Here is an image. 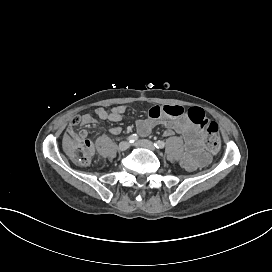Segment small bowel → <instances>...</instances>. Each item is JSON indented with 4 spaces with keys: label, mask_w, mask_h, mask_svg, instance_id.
<instances>
[{
    "label": "small bowel",
    "mask_w": 272,
    "mask_h": 272,
    "mask_svg": "<svg viewBox=\"0 0 272 272\" xmlns=\"http://www.w3.org/2000/svg\"><path fill=\"white\" fill-rule=\"evenodd\" d=\"M189 111H185L183 107L178 105L154 106L148 111L147 118L136 121V127L142 136L148 135L157 124L166 127V136H170L173 133L181 134L185 145L181 164L187 171H194L206 163L207 155L200 149L201 135L189 119ZM125 112L126 107L124 105H117L111 110H106L103 107L94 109V114L98 119L112 122L121 121ZM96 124H98V120L91 114L85 113L74 117L66 132L72 133L77 139L84 136L87 137L85 130L77 134L74 131V127L77 125L94 126ZM110 133L118 135L121 133V128L114 126L110 128Z\"/></svg>",
    "instance_id": "c3829d8e"
}]
</instances>
